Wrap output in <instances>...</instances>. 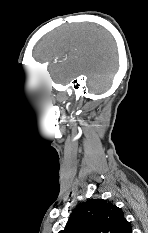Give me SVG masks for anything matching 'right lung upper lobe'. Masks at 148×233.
Returning a JSON list of instances; mask_svg holds the SVG:
<instances>
[{"label":"right lung upper lobe","instance_id":"cb5924a9","mask_svg":"<svg viewBox=\"0 0 148 233\" xmlns=\"http://www.w3.org/2000/svg\"><path fill=\"white\" fill-rule=\"evenodd\" d=\"M59 233H132L130 223L116 205L102 199L79 204Z\"/></svg>","mask_w":148,"mask_h":233}]
</instances>
